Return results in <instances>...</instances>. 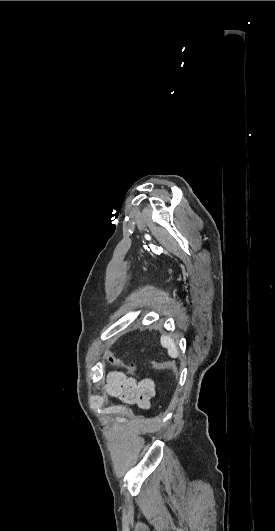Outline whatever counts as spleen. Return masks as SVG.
Segmentation results:
<instances>
[{
	"label": "spleen",
	"instance_id": "spleen-1",
	"mask_svg": "<svg viewBox=\"0 0 275 531\" xmlns=\"http://www.w3.org/2000/svg\"><path fill=\"white\" fill-rule=\"evenodd\" d=\"M160 343L162 347H165V349H168V355L169 357H172V359H177L179 355V351L171 337H168V335H162L160 339Z\"/></svg>",
	"mask_w": 275,
	"mask_h": 531
}]
</instances>
